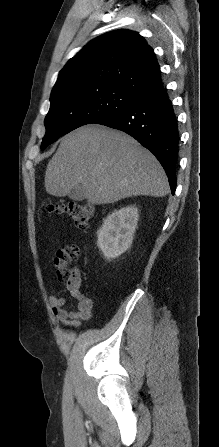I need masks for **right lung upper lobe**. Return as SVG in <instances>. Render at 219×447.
<instances>
[{"label":"right lung upper lobe","instance_id":"right-lung-upper-lobe-1","mask_svg":"<svg viewBox=\"0 0 219 447\" xmlns=\"http://www.w3.org/2000/svg\"><path fill=\"white\" fill-rule=\"evenodd\" d=\"M111 85L138 99L162 87L153 49L138 33L116 30L90 41L60 71L52 92Z\"/></svg>","mask_w":219,"mask_h":447}]
</instances>
